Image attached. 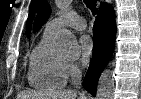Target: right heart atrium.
Segmentation results:
<instances>
[{
  "label": "right heart atrium",
  "mask_w": 141,
  "mask_h": 99,
  "mask_svg": "<svg viewBox=\"0 0 141 99\" xmlns=\"http://www.w3.org/2000/svg\"><path fill=\"white\" fill-rule=\"evenodd\" d=\"M65 70H66V75L70 77H76L79 74V66L72 61H67L65 63Z\"/></svg>",
  "instance_id": "obj_1"
}]
</instances>
